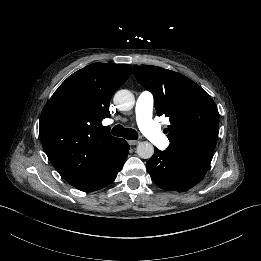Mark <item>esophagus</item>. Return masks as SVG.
<instances>
[{
  "instance_id": "esophagus-1",
  "label": "esophagus",
  "mask_w": 261,
  "mask_h": 261,
  "mask_svg": "<svg viewBox=\"0 0 261 261\" xmlns=\"http://www.w3.org/2000/svg\"><path fill=\"white\" fill-rule=\"evenodd\" d=\"M128 143L130 145H137L139 143V141L138 140H128Z\"/></svg>"
}]
</instances>
